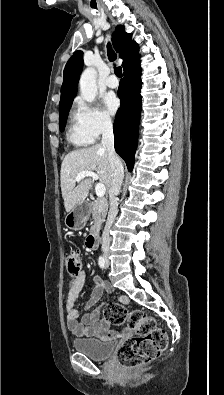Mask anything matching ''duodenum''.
Listing matches in <instances>:
<instances>
[{
    "label": "duodenum",
    "instance_id": "1",
    "mask_svg": "<svg viewBox=\"0 0 224 395\" xmlns=\"http://www.w3.org/2000/svg\"><path fill=\"white\" fill-rule=\"evenodd\" d=\"M97 244H98V230L97 228H94L87 237L86 245L90 250H94L96 249Z\"/></svg>",
    "mask_w": 224,
    "mask_h": 395
}]
</instances>
